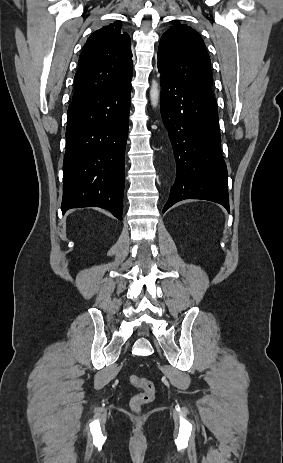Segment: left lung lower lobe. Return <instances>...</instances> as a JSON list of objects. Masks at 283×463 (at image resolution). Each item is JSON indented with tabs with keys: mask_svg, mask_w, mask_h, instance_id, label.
Returning a JSON list of instances; mask_svg holds the SVG:
<instances>
[{
	"mask_svg": "<svg viewBox=\"0 0 283 463\" xmlns=\"http://www.w3.org/2000/svg\"><path fill=\"white\" fill-rule=\"evenodd\" d=\"M158 70L161 115L176 161L175 183L163 212L184 199L210 200L229 211L216 100L193 91L163 66Z\"/></svg>",
	"mask_w": 283,
	"mask_h": 463,
	"instance_id": "left-lung-lower-lobe-1",
	"label": "left lung lower lobe"
}]
</instances>
